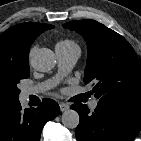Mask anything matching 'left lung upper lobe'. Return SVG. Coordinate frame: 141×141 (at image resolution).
Wrapping results in <instances>:
<instances>
[{
    "label": "left lung upper lobe",
    "instance_id": "left-lung-upper-lobe-1",
    "mask_svg": "<svg viewBox=\"0 0 141 141\" xmlns=\"http://www.w3.org/2000/svg\"><path fill=\"white\" fill-rule=\"evenodd\" d=\"M83 35L88 46L85 84L94 83L99 102L141 109V66L127 40L95 20L63 25Z\"/></svg>",
    "mask_w": 141,
    "mask_h": 141
}]
</instances>
